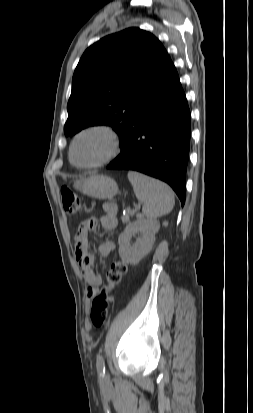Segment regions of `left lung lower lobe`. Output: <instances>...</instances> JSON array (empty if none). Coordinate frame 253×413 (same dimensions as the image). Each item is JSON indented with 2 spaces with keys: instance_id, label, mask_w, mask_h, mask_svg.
Returning <instances> with one entry per match:
<instances>
[{
  "instance_id": "left-lung-lower-lobe-1",
  "label": "left lung lower lobe",
  "mask_w": 253,
  "mask_h": 413,
  "mask_svg": "<svg viewBox=\"0 0 253 413\" xmlns=\"http://www.w3.org/2000/svg\"><path fill=\"white\" fill-rule=\"evenodd\" d=\"M191 115L171 62L130 122L108 169L135 170L168 183L185 203Z\"/></svg>"
}]
</instances>
